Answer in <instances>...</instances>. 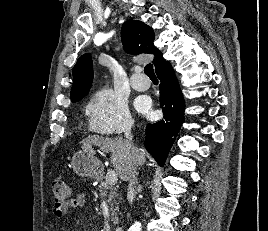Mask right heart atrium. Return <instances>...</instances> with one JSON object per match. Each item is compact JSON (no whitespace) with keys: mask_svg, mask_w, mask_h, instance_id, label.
I'll use <instances>...</instances> for the list:
<instances>
[{"mask_svg":"<svg viewBox=\"0 0 268 231\" xmlns=\"http://www.w3.org/2000/svg\"><path fill=\"white\" fill-rule=\"evenodd\" d=\"M89 127L103 136L127 133L133 122L127 102L109 88L95 91L86 105Z\"/></svg>","mask_w":268,"mask_h":231,"instance_id":"d8ad5b80","label":"right heart atrium"}]
</instances>
